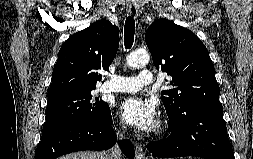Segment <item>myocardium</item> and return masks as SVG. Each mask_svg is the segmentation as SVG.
Masks as SVG:
<instances>
[{"label": "myocardium", "mask_w": 253, "mask_h": 159, "mask_svg": "<svg viewBox=\"0 0 253 159\" xmlns=\"http://www.w3.org/2000/svg\"><path fill=\"white\" fill-rule=\"evenodd\" d=\"M163 131H164V125L161 122H159L154 129V134L160 135L161 133H163Z\"/></svg>", "instance_id": "obj_1"}]
</instances>
